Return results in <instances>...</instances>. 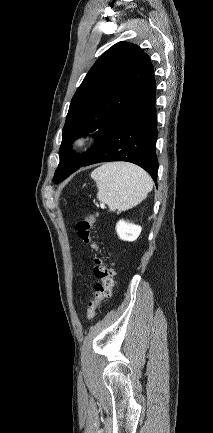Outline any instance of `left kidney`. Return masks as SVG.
<instances>
[{
  "label": "left kidney",
  "instance_id": "left-kidney-1",
  "mask_svg": "<svg viewBox=\"0 0 213 433\" xmlns=\"http://www.w3.org/2000/svg\"><path fill=\"white\" fill-rule=\"evenodd\" d=\"M141 230V226L129 223L124 220H120L116 224V232L119 238L124 241H135L139 237Z\"/></svg>",
  "mask_w": 213,
  "mask_h": 433
}]
</instances>
